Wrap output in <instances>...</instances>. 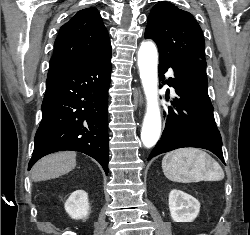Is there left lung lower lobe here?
I'll list each match as a JSON object with an SVG mask.
<instances>
[{
    "label": "left lung lower lobe",
    "instance_id": "1",
    "mask_svg": "<svg viewBox=\"0 0 250 235\" xmlns=\"http://www.w3.org/2000/svg\"><path fill=\"white\" fill-rule=\"evenodd\" d=\"M171 67L174 76L166 82L175 88L173 107L168 108L165 129L148 160L165 152L183 147L204 148L213 152L225 164L222 139L217 129L213 106L208 96L206 64L193 59L168 62L159 59L160 77ZM166 91V99L168 100Z\"/></svg>",
    "mask_w": 250,
    "mask_h": 235
}]
</instances>
